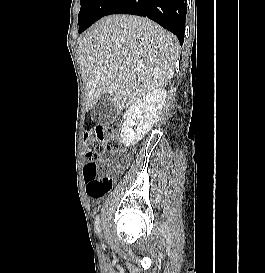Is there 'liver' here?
<instances>
[{"label":"liver","instance_id":"liver-1","mask_svg":"<svg viewBox=\"0 0 265 273\" xmlns=\"http://www.w3.org/2000/svg\"><path fill=\"white\" fill-rule=\"evenodd\" d=\"M178 55L175 36L150 19L134 15L101 19L78 47L87 109L109 93L113 107L123 110L165 87L174 75Z\"/></svg>","mask_w":265,"mask_h":273}]
</instances>
